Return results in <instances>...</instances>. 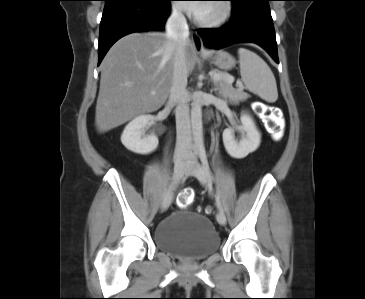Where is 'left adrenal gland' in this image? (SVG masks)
<instances>
[{
  "label": "left adrenal gland",
  "mask_w": 365,
  "mask_h": 299,
  "mask_svg": "<svg viewBox=\"0 0 365 299\" xmlns=\"http://www.w3.org/2000/svg\"><path fill=\"white\" fill-rule=\"evenodd\" d=\"M217 91H218V86H217V84L215 82V84H214V92L217 93Z\"/></svg>",
  "instance_id": "1"
}]
</instances>
